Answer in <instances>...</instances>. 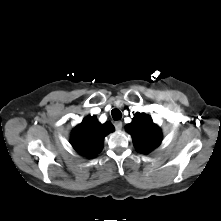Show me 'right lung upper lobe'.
<instances>
[{"instance_id":"obj_1","label":"right lung upper lobe","mask_w":221,"mask_h":221,"mask_svg":"<svg viewBox=\"0 0 221 221\" xmlns=\"http://www.w3.org/2000/svg\"><path fill=\"white\" fill-rule=\"evenodd\" d=\"M113 131L111 122L101 124L95 116H89L74 128L71 144L80 154L93 158L103 149L104 137Z\"/></svg>"}]
</instances>
